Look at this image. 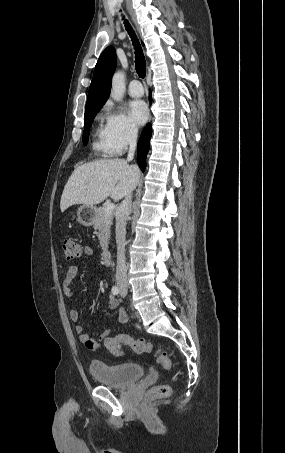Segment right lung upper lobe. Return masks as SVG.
I'll list each match as a JSON object with an SVG mask.
<instances>
[{"label":"right lung upper lobe","mask_w":285,"mask_h":453,"mask_svg":"<svg viewBox=\"0 0 285 453\" xmlns=\"http://www.w3.org/2000/svg\"><path fill=\"white\" fill-rule=\"evenodd\" d=\"M115 66L116 52L114 47L109 46L102 52L95 66L85 113L99 111L107 101Z\"/></svg>","instance_id":"right-lung-upper-lobe-1"}]
</instances>
